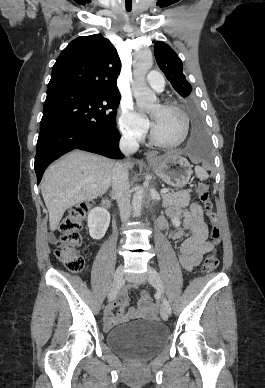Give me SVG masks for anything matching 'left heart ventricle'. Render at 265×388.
<instances>
[{
    "mask_svg": "<svg viewBox=\"0 0 265 388\" xmlns=\"http://www.w3.org/2000/svg\"><path fill=\"white\" fill-rule=\"evenodd\" d=\"M149 91H157L154 86H147ZM154 117V122L159 135L166 140H175L181 132L182 119L181 117L164 107L157 105L151 111Z\"/></svg>",
    "mask_w": 265,
    "mask_h": 388,
    "instance_id": "b2bd125f",
    "label": "left heart ventricle"
}]
</instances>
